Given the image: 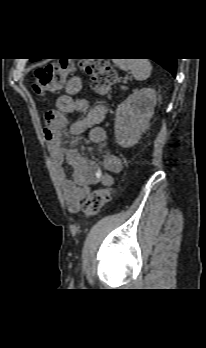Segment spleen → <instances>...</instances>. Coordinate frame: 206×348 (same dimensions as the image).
I'll list each match as a JSON object with an SVG mask.
<instances>
[{"label": "spleen", "instance_id": "1", "mask_svg": "<svg viewBox=\"0 0 206 348\" xmlns=\"http://www.w3.org/2000/svg\"><path fill=\"white\" fill-rule=\"evenodd\" d=\"M114 63L121 70H129L139 81L147 79L152 71V65L148 59H115Z\"/></svg>", "mask_w": 206, "mask_h": 348}]
</instances>
